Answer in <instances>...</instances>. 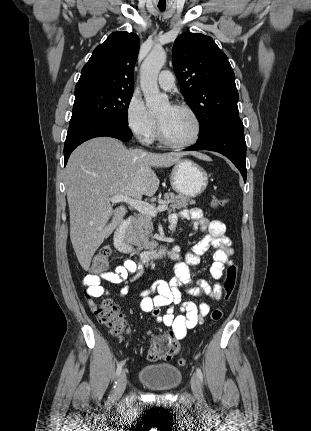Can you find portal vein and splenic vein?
Instances as JSON below:
<instances>
[{
	"instance_id": "portal-vein-and-splenic-vein-1",
	"label": "portal vein and splenic vein",
	"mask_w": 311,
	"mask_h": 431,
	"mask_svg": "<svg viewBox=\"0 0 311 431\" xmlns=\"http://www.w3.org/2000/svg\"><path fill=\"white\" fill-rule=\"evenodd\" d=\"M110 202L112 204H118V202H125L129 204L131 208L140 212V214H147V216H157L158 212H165L168 210V204H163V206H151V204H146V202H141V200H133L130 196H111Z\"/></svg>"
}]
</instances>
